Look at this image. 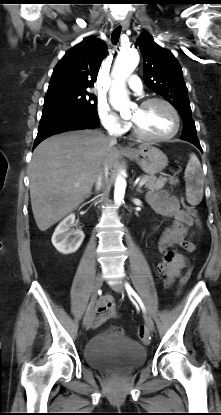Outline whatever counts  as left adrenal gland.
<instances>
[{
	"instance_id": "1",
	"label": "left adrenal gland",
	"mask_w": 221,
	"mask_h": 415,
	"mask_svg": "<svg viewBox=\"0 0 221 415\" xmlns=\"http://www.w3.org/2000/svg\"><path fill=\"white\" fill-rule=\"evenodd\" d=\"M133 187H135V185ZM136 190L137 192L142 193V190L140 188H137Z\"/></svg>"
}]
</instances>
